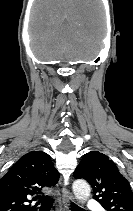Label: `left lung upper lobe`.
Returning <instances> with one entry per match:
<instances>
[{
	"label": "left lung upper lobe",
	"instance_id": "left-lung-upper-lobe-1",
	"mask_svg": "<svg viewBox=\"0 0 133 211\" xmlns=\"http://www.w3.org/2000/svg\"><path fill=\"white\" fill-rule=\"evenodd\" d=\"M76 179L87 180L94 198L105 211H133V192L112 160L98 151L85 154L74 171Z\"/></svg>",
	"mask_w": 133,
	"mask_h": 211
}]
</instances>
